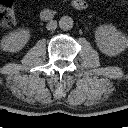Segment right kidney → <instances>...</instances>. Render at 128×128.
Masks as SVG:
<instances>
[{"label": "right kidney", "instance_id": "right-kidney-1", "mask_svg": "<svg viewBox=\"0 0 128 128\" xmlns=\"http://www.w3.org/2000/svg\"><path fill=\"white\" fill-rule=\"evenodd\" d=\"M30 38L28 29H18L8 33L1 41V48L6 52H18L24 48Z\"/></svg>", "mask_w": 128, "mask_h": 128}]
</instances>
